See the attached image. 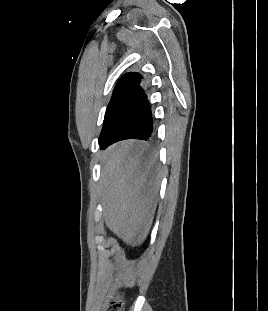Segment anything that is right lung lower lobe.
Wrapping results in <instances>:
<instances>
[{
	"label": "right lung lower lobe",
	"mask_w": 268,
	"mask_h": 311,
	"mask_svg": "<svg viewBox=\"0 0 268 311\" xmlns=\"http://www.w3.org/2000/svg\"><path fill=\"white\" fill-rule=\"evenodd\" d=\"M155 121L151 105L144 89L139 83L124 107L123 111L106 133L99 140L101 149L124 139L149 140L154 136Z\"/></svg>",
	"instance_id": "1"
}]
</instances>
